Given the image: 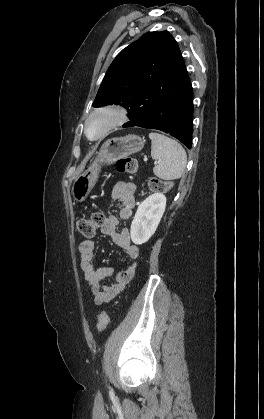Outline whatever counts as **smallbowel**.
I'll return each instance as SVG.
<instances>
[{
	"label": "small bowel",
	"instance_id": "small-bowel-1",
	"mask_svg": "<svg viewBox=\"0 0 264 419\" xmlns=\"http://www.w3.org/2000/svg\"><path fill=\"white\" fill-rule=\"evenodd\" d=\"M135 191L136 186L132 182L120 181L113 186L111 197L120 204L119 215H109L100 227V231L111 236L113 242L123 249L127 255L128 265L116 274L114 283L103 285V281L113 273L111 267L96 268L93 265L95 242L93 240H84L79 245L80 265L85 279L91 287L94 303L97 305L108 303L119 295L135 274L139 248L132 243L130 232L127 228L120 231L117 229L121 220H129L132 216V211L135 207Z\"/></svg>",
	"mask_w": 264,
	"mask_h": 419
}]
</instances>
